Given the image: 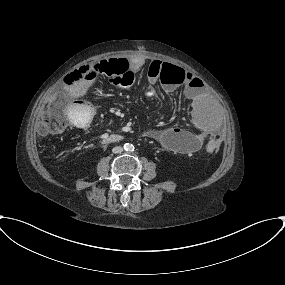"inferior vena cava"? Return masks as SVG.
Returning <instances> with one entry per match:
<instances>
[{
    "mask_svg": "<svg viewBox=\"0 0 285 285\" xmlns=\"http://www.w3.org/2000/svg\"><path fill=\"white\" fill-rule=\"evenodd\" d=\"M123 151V148L121 146H116L112 149L113 153H121Z\"/></svg>",
    "mask_w": 285,
    "mask_h": 285,
    "instance_id": "inferior-vena-cava-1",
    "label": "inferior vena cava"
}]
</instances>
